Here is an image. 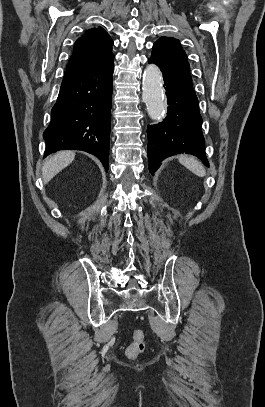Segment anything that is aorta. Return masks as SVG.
Returning a JSON list of instances; mask_svg holds the SVG:
<instances>
[{
    "label": "aorta",
    "mask_w": 265,
    "mask_h": 407,
    "mask_svg": "<svg viewBox=\"0 0 265 407\" xmlns=\"http://www.w3.org/2000/svg\"><path fill=\"white\" fill-rule=\"evenodd\" d=\"M142 99L152 120L163 118L167 106L164 101L162 74L160 69L154 64L148 65L144 71Z\"/></svg>",
    "instance_id": "762f6f07"
}]
</instances>
